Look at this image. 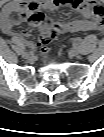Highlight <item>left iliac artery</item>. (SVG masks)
<instances>
[{
  "label": "left iliac artery",
  "mask_w": 104,
  "mask_h": 137,
  "mask_svg": "<svg viewBox=\"0 0 104 137\" xmlns=\"http://www.w3.org/2000/svg\"><path fill=\"white\" fill-rule=\"evenodd\" d=\"M75 41H76V43H79V42H80V39H79V38H77Z\"/></svg>",
  "instance_id": "left-iliac-artery-1"
}]
</instances>
